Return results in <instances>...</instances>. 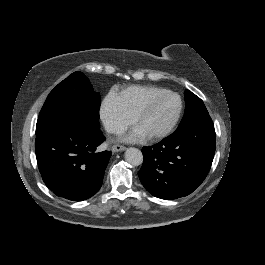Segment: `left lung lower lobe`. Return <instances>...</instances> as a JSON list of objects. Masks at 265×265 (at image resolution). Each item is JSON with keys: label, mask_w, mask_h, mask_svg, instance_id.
I'll use <instances>...</instances> for the list:
<instances>
[{"label": "left lung lower lobe", "mask_w": 265, "mask_h": 265, "mask_svg": "<svg viewBox=\"0 0 265 265\" xmlns=\"http://www.w3.org/2000/svg\"><path fill=\"white\" fill-rule=\"evenodd\" d=\"M215 147L210 116L179 126L158 144L142 149L140 181L149 193L161 199L187 196L206 178Z\"/></svg>", "instance_id": "obj_1"}]
</instances>
